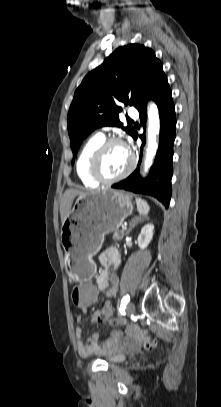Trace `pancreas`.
Returning <instances> with one entry per match:
<instances>
[{
	"instance_id": "cf45deb5",
	"label": "pancreas",
	"mask_w": 221,
	"mask_h": 407,
	"mask_svg": "<svg viewBox=\"0 0 221 407\" xmlns=\"http://www.w3.org/2000/svg\"><path fill=\"white\" fill-rule=\"evenodd\" d=\"M125 236V230L115 231L113 234L114 241H120Z\"/></svg>"
}]
</instances>
